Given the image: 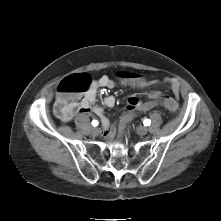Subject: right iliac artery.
I'll list each match as a JSON object with an SVG mask.
<instances>
[{
    "label": "right iliac artery",
    "instance_id": "obj_1",
    "mask_svg": "<svg viewBox=\"0 0 221 221\" xmlns=\"http://www.w3.org/2000/svg\"><path fill=\"white\" fill-rule=\"evenodd\" d=\"M92 125H93L94 127L98 126V121H97V120H93V121H92Z\"/></svg>",
    "mask_w": 221,
    "mask_h": 221
}]
</instances>
